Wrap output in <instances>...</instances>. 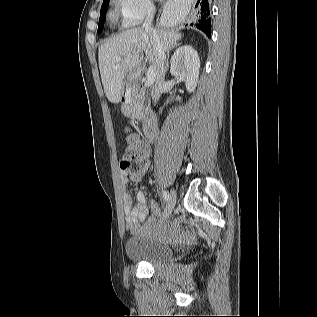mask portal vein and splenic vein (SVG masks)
Instances as JSON below:
<instances>
[{
	"label": "portal vein and splenic vein",
	"mask_w": 317,
	"mask_h": 317,
	"mask_svg": "<svg viewBox=\"0 0 317 317\" xmlns=\"http://www.w3.org/2000/svg\"><path fill=\"white\" fill-rule=\"evenodd\" d=\"M155 76H156V69L153 66H150L147 71L145 86L152 85L155 80Z\"/></svg>",
	"instance_id": "1"
}]
</instances>
